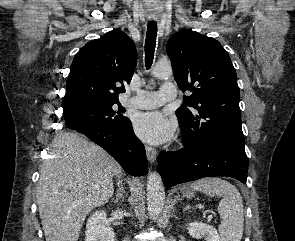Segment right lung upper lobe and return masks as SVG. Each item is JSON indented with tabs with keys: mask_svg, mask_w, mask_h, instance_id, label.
Wrapping results in <instances>:
<instances>
[{
	"mask_svg": "<svg viewBox=\"0 0 295 241\" xmlns=\"http://www.w3.org/2000/svg\"><path fill=\"white\" fill-rule=\"evenodd\" d=\"M137 63L133 41L122 31L112 30L88 42L74 57L66 82L63 111L78 107L119 102Z\"/></svg>",
	"mask_w": 295,
	"mask_h": 241,
	"instance_id": "1",
	"label": "right lung upper lobe"
}]
</instances>
